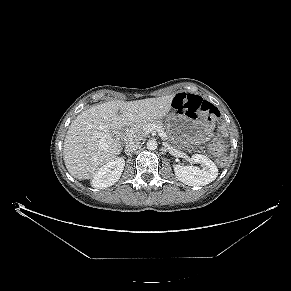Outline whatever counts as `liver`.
<instances>
[{
	"instance_id": "1",
	"label": "liver",
	"mask_w": 291,
	"mask_h": 291,
	"mask_svg": "<svg viewBox=\"0 0 291 291\" xmlns=\"http://www.w3.org/2000/svg\"><path fill=\"white\" fill-rule=\"evenodd\" d=\"M174 94L136 101H109L82 111L67 131L63 158L68 172L87 179L95 170L121 152L112 133L124 126L157 120L171 109ZM120 110L121 115H118Z\"/></svg>"
}]
</instances>
